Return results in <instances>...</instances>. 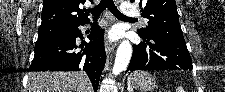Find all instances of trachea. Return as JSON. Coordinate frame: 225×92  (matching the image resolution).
Instances as JSON below:
<instances>
[{
  "label": "trachea",
  "mask_w": 225,
  "mask_h": 92,
  "mask_svg": "<svg viewBox=\"0 0 225 92\" xmlns=\"http://www.w3.org/2000/svg\"><path fill=\"white\" fill-rule=\"evenodd\" d=\"M106 8H108L116 18L128 19L124 14H122L117 9L113 0H101L100 3L95 8L89 9V12H91L94 18H97L100 15V13Z\"/></svg>",
  "instance_id": "3493384b"
}]
</instances>
